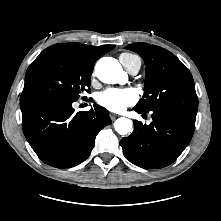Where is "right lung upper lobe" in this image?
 <instances>
[{"label":"right lung upper lobe","mask_w":221,"mask_h":221,"mask_svg":"<svg viewBox=\"0 0 221 221\" xmlns=\"http://www.w3.org/2000/svg\"><path fill=\"white\" fill-rule=\"evenodd\" d=\"M114 47V45L94 47L80 43H59L48 47L41 54L53 52L67 53L80 58L85 63L94 67L96 60Z\"/></svg>","instance_id":"cb5924a9"}]
</instances>
